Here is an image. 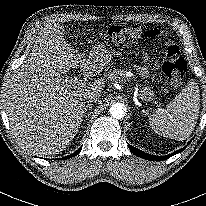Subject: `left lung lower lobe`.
<instances>
[{
	"label": "left lung lower lobe",
	"instance_id": "1",
	"mask_svg": "<svg viewBox=\"0 0 206 206\" xmlns=\"http://www.w3.org/2000/svg\"><path fill=\"white\" fill-rule=\"evenodd\" d=\"M128 146H129V149L132 151V153H134L136 156H139L141 158L148 159V160H157V161L168 159L169 157H171L175 154H178L185 149V147H184V148L177 150L176 152H174L170 155H166V156H154V155L144 153L143 151H141V150H139V149H137L129 144H128Z\"/></svg>",
	"mask_w": 206,
	"mask_h": 206
}]
</instances>
